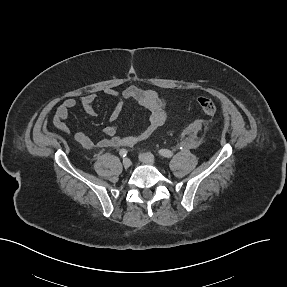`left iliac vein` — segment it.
I'll return each instance as SVG.
<instances>
[{"label":"left iliac vein","mask_w":287,"mask_h":287,"mask_svg":"<svg viewBox=\"0 0 287 287\" xmlns=\"http://www.w3.org/2000/svg\"><path fill=\"white\" fill-rule=\"evenodd\" d=\"M139 160L145 164H150V165L155 164V157L151 153H141L139 155Z\"/></svg>","instance_id":"obj_1"}]
</instances>
